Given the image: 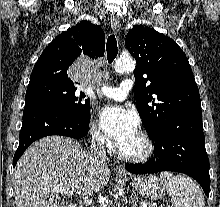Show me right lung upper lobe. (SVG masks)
Here are the masks:
<instances>
[{"label":"right lung upper lobe","mask_w":220,"mask_h":207,"mask_svg":"<svg viewBox=\"0 0 220 207\" xmlns=\"http://www.w3.org/2000/svg\"><path fill=\"white\" fill-rule=\"evenodd\" d=\"M105 35L102 28L83 20L58 35L42 52L30 76L29 85L49 81L73 85L68 69L83 55L90 59L104 55Z\"/></svg>","instance_id":"1"}]
</instances>
